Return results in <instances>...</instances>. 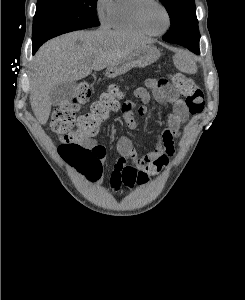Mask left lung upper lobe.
Returning a JSON list of instances; mask_svg holds the SVG:
<instances>
[{"label":"left lung upper lobe","instance_id":"obj_1","mask_svg":"<svg viewBox=\"0 0 245 300\" xmlns=\"http://www.w3.org/2000/svg\"><path fill=\"white\" fill-rule=\"evenodd\" d=\"M160 1L168 11L171 23L169 32L162 37L163 40L173 43L187 38L192 42L200 37L194 0Z\"/></svg>","mask_w":245,"mask_h":300}]
</instances>
